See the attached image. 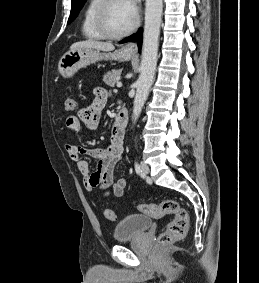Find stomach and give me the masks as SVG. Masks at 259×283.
I'll return each instance as SVG.
<instances>
[{
	"mask_svg": "<svg viewBox=\"0 0 259 283\" xmlns=\"http://www.w3.org/2000/svg\"><path fill=\"white\" fill-rule=\"evenodd\" d=\"M132 54L123 49L115 52H101L92 48H78L67 52L59 61L58 71L64 78L72 77L80 68L102 60L126 61Z\"/></svg>",
	"mask_w": 259,
	"mask_h": 283,
	"instance_id": "stomach-1",
	"label": "stomach"
}]
</instances>
